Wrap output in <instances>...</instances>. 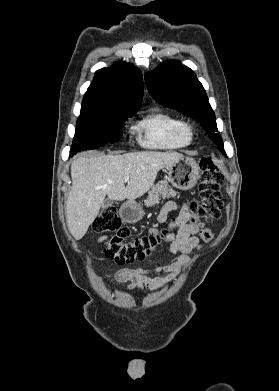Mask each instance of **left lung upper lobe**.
Masks as SVG:
<instances>
[{
    "label": "left lung upper lobe",
    "instance_id": "1",
    "mask_svg": "<svg viewBox=\"0 0 279 391\" xmlns=\"http://www.w3.org/2000/svg\"><path fill=\"white\" fill-rule=\"evenodd\" d=\"M144 77L150 95L158 103L200 122L210 139L224 152L221 137L217 133L215 114L202 84L190 68L172 61L166 65L162 63Z\"/></svg>",
    "mask_w": 279,
    "mask_h": 391
}]
</instances>
